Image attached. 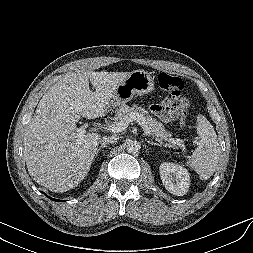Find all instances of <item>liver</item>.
I'll return each mask as SVG.
<instances>
[{"label": "liver", "instance_id": "obj_1", "mask_svg": "<svg viewBox=\"0 0 253 253\" xmlns=\"http://www.w3.org/2000/svg\"><path fill=\"white\" fill-rule=\"evenodd\" d=\"M131 72H71L41 98L24 133L30 176L53 192L75 188L87 176L97 151L98 133L79 134L76 122L106 113L116 88ZM89 80L96 89L90 90Z\"/></svg>", "mask_w": 253, "mask_h": 253}]
</instances>
